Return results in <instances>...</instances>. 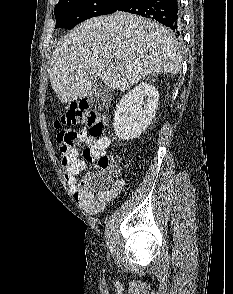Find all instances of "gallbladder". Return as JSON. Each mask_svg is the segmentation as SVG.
<instances>
[{
    "instance_id": "obj_1",
    "label": "gallbladder",
    "mask_w": 233,
    "mask_h": 294,
    "mask_svg": "<svg viewBox=\"0 0 233 294\" xmlns=\"http://www.w3.org/2000/svg\"><path fill=\"white\" fill-rule=\"evenodd\" d=\"M90 103L94 106L104 107L111 99L110 88L107 87L102 81H97L93 87L91 93L88 95Z\"/></svg>"
}]
</instances>
